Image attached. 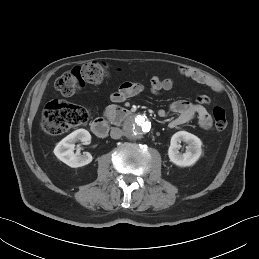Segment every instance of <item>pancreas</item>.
Wrapping results in <instances>:
<instances>
[{"instance_id":"obj_1","label":"pancreas","mask_w":259,"mask_h":259,"mask_svg":"<svg viewBox=\"0 0 259 259\" xmlns=\"http://www.w3.org/2000/svg\"><path fill=\"white\" fill-rule=\"evenodd\" d=\"M109 112H113V110H109Z\"/></svg>"}]
</instances>
